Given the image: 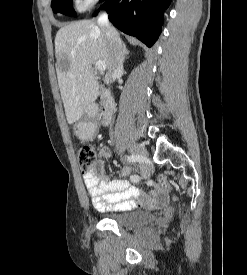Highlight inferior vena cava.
<instances>
[{"mask_svg":"<svg viewBox=\"0 0 247 275\" xmlns=\"http://www.w3.org/2000/svg\"><path fill=\"white\" fill-rule=\"evenodd\" d=\"M98 24L108 41L111 59L110 76L115 80L123 72V43L116 30L110 25L106 12L99 15Z\"/></svg>","mask_w":247,"mask_h":275,"instance_id":"602c4592","label":"inferior vena cava"}]
</instances>
